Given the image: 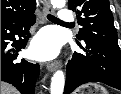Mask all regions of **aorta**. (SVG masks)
Returning a JSON list of instances; mask_svg holds the SVG:
<instances>
[{
	"instance_id": "762f6f07",
	"label": "aorta",
	"mask_w": 121,
	"mask_h": 94,
	"mask_svg": "<svg viewBox=\"0 0 121 94\" xmlns=\"http://www.w3.org/2000/svg\"><path fill=\"white\" fill-rule=\"evenodd\" d=\"M51 4L56 8H63L66 4V0H51ZM65 85V76L63 71L58 70L54 73L51 79V94H63Z\"/></svg>"
}]
</instances>
